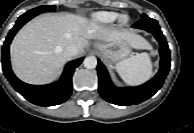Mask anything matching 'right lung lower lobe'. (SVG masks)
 Returning a JSON list of instances; mask_svg holds the SVG:
<instances>
[{
    "label": "right lung lower lobe",
    "mask_w": 194,
    "mask_h": 133,
    "mask_svg": "<svg viewBox=\"0 0 194 133\" xmlns=\"http://www.w3.org/2000/svg\"><path fill=\"white\" fill-rule=\"evenodd\" d=\"M33 17L32 15H21L15 26L10 30L2 48V67L6 78L13 88L25 99L39 106H54L65 102L72 93V75L76 67L80 65L83 58L69 62L61 79L55 84L37 86L20 81L12 72L10 67L9 46L17 31Z\"/></svg>",
    "instance_id": "right-lung-lower-lobe-1"
}]
</instances>
